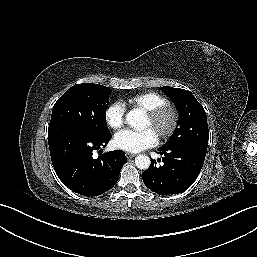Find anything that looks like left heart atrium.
<instances>
[{"instance_id":"obj_1","label":"left heart atrium","mask_w":257,"mask_h":257,"mask_svg":"<svg viewBox=\"0 0 257 257\" xmlns=\"http://www.w3.org/2000/svg\"><path fill=\"white\" fill-rule=\"evenodd\" d=\"M158 144V135L152 129L123 130L114 137V145L124 151L137 153Z\"/></svg>"}]
</instances>
